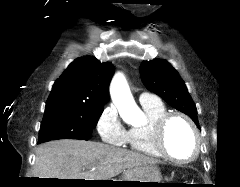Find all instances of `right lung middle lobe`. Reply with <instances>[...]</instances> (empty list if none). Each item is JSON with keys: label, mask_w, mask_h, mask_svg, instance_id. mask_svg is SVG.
<instances>
[{"label": "right lung middle lobe", "mask_w": 240, "mask_h": 187, "mask_svg": "<svg viewBox=\"0 0 240 187\" xmlns=\"http://www.w3.org/2000/svg\"><path fill=\"white\" fill-rule=\"evenodd\" d=\"M103 107L62 104L45 108L39 142L57 139L88 140Z\"/></svg>", "instance_id": "obj_1"}]
</instances>
